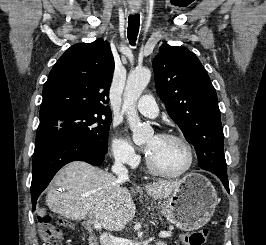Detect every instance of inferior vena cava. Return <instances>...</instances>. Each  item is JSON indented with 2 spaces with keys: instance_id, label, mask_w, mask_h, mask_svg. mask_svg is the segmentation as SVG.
Wrapping results in <instances>:
<instances>
[{
  "instance_id": "inferior-vena-cava-1",
  "label": "inferior vena cava",
  "mask_w": 266,
  "mask_h": 245,
  "mask_svg": "<svg viewBox=\"0 0 266 245\" xmlns=\"http://www.w3.org/2000/svg\"><path fill=\"white\" fill-rule=\"evenodd\" d=\"M112 173H115L118 181H128L129 175L126 167L123 165L122 159L116 157L114 165L111 167ZM115 239L108 233H102L100 235V245H114Z\"/></svg>"
}]
</instances>
